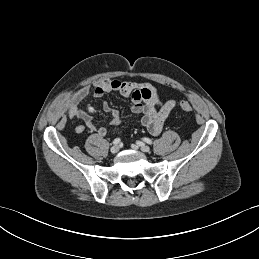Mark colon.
Listing matches in <instances>:
<instances>
[{
    "label": "colon",
    "instance_id": "colon-1",
    "mask_svg": "<svg viewBox=\"0 0 259 259\" xmlns=\"http://www.w3.org/2000/svg\"><path fill=\"white\" fill-rule=\"evenodd\" d=\"M180 108L184 112H191L192 111V105L187 101H182L180 103Z\"/></svg>",
    "mask_w": 259,
    "mask_h": 259
}]
</instances>
